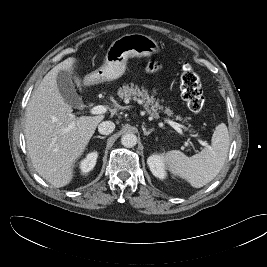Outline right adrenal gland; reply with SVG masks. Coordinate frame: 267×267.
Segmentation results:
<instances>
[{
  "label": "right adrenal gland",
  "instance_id": "right-adrenal-gland-1",
  "mask_svg": "<svg viewBox=\"0 0 267 267\" xmlns=\"http://www.w3.org/2000/svg\"><path fill=\"white\" fill-rule=\"evenodd\" d=\"M94 138L105 139L106 137H105V136H100V135H98V136H95Z\"/></svg>",
  "mask_w": 267,
  "mask_h": 267
}]
</instances>
